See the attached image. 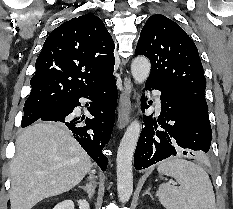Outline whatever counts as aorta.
Listing matches in <instances>:
<instances>
[{"instance_id":"1","label":"aorta","mask_w":233,"mask_h":209,"mask_svg":"<svg viewBox=\"0 0 233 209\" xmlns=\"http://www.w3.org/2000/svg\"><path fill=\"white\" fill-rule=\"evenodd\" d=\"M150 61L144 56L131 63V74L136 83L145 82L150 73ZM141 125L134 120L126 129L117 152V192L121 202H127L133 191L132 160L140 136Z\"/></svg>"}]
</instances>
